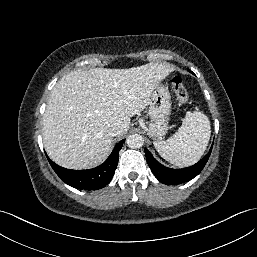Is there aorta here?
<instances>
[{
	"instance_id": "obj_1",
	"label": "aorta",
	"mask_w": 257,
	"mask_h": 257,
	"mask_svg": "<svg viewBox=\"0 0 257 257\" xmlns=\"http://www.w3.org/2000/svg\"><path fill=\"white\" fill-rule=\"evenodd\" d=\"M127 146L132 149H137L143 146V137L139 134H132L126 139Z\"/></svg>"
}]
</instances>
